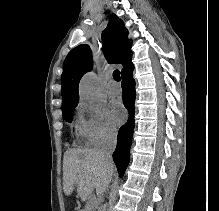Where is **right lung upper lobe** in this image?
<instances>
[{
	"instance_id": "cb5924a9",
	"label": "right lung upper lobe",
	"mask_w": 219,
	"mask_h": 211,
	"mask_svg": "<svg viewBox=\"0 0 219 211\" xmlns=\"http://www.w3.org/2000/svg\"><path fill=\"white\" fill-rule=\"evenodd\" d=\"M127 34L124 23L115 14L111 15L107 27L102 32V50L106 60L108 63L122 64V71L132 64V40L127 38ZM92 66V52L88 45H79L69 52L61 76L62 105L79 101V81Z\"/></svg>"
}]
</instances>
